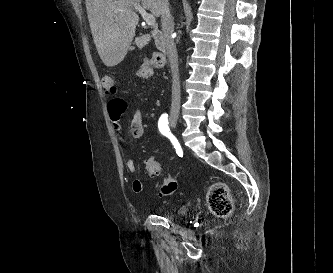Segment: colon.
<instances>
[{
    "mask_svg": "<svg viewBox=\"0 0 333 273\" xmlns=\"http://www.w3.org/2000/svg\"><path fill=\"white\" fill-rule=\"evenodd\" d=\"M148 60L154 68H160L165 64L164 56L160 53L152 54ZM103 85L110 93L117 92L116 80L113 77L104 78ZM144 168L151 177L160 178L158 188L161 195H171L176 191L177 183L175 179L157 159L148 158L145 160ZM207 203L211 212L218 217H228L233 211L229 188L221 181L210 185L207 192Z\"/></svg>",
    "mask_w": 333,
    "mask_h": 273,
    "instance_id": "colon-1",
    "label": "colon"
}]
</instances>
